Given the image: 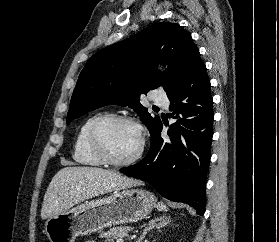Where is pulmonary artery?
Returning <instances> with one entry per match:
<instances>
[{
    "instance_id": "e3ab8cb5",
    "label": "pulmonary artery",
    "mask_w": 279,
    "mask_h": 242,
    "mask_svg": "<svg viewBox=\"0 0 279 242\" xmlns=\"http://www.w3.org/2000/svg\"><path fill=\"white\" fill-rule=\"evenodd\" d=\"M153 101L158 106H161L164 108H167L168 103H169L168 97L159 90L155 91L154 96H153Z\"/></svg>"
}]
</instances>
